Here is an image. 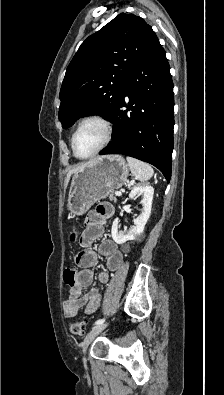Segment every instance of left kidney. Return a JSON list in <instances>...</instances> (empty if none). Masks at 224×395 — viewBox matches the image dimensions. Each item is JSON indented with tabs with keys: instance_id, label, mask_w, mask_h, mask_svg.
I'll return each instance as SVG.
<instances>
[{
	"instance_id": "obj_1",
	"label": "left kidney",
	"mask_w": 224,
	"mask_h": 395,
	"mask_svg": "<svg viewBox=\"0 0 224 395\" xmlns=\"http://www.w3.org/2000/svg\"><path fill=\"white\" fill-rule=\"evenodd\" d=\"M143 194L142 213L133 220L134 226L129 231L123 232L118 230L119 219L116 218L112 225V238L117 244H123L128 240L137 238L143 232L145 225L150 217L154 188L151 185H137L130 194L129 198L133 199L135 196Z\"/></svg>"
}]
</instances>
